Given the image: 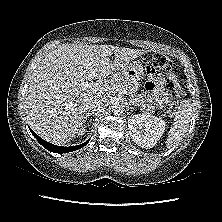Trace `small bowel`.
Here are the masks:
<instances>
[{
    "instance_id": "c3829d8e",
    "label": "small bowel",
    "mask_w": 222,
    "mask_h": 222,
    "mask_svg": "<svg viewBox=\"0 0 222 222\" xmlns=\"http://www.w3.org/2000/svg\"><path fill=\"white\" fill-rule=\"evenodd\" d=\"M150 79L146 84V89L148 91V98L150 102H158L163 105L168 99V92L165 87L166 81H172L175 83V77L173 75H168L167 78H162L156 73H150Z\"/></svg>"
}]
</instances>
